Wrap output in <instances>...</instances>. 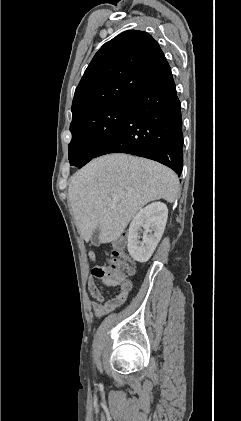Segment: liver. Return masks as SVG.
Here are the masks:
<instances>
[{"label":"liver","instance_id":"6515ba94","mask_svg":"<svg viewBox=\"0 0 241 421\" xmlns=\"http://www.w3.org/2000/svg\"><path fill=\"white\" fill-rule=\"evenodd\" d=\"M178 186L175 172L158 162L110 154L77 171L71 177L68 196L81 237L89 241L99 227V241L105 244L117 240L147 203L158 199L173 203Z\"/></svg>","mask_w":241,"mask_h":421}]
</instances>
